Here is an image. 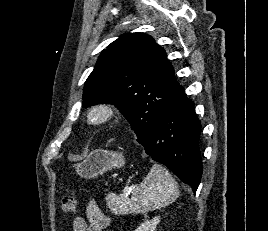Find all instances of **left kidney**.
Segmentation results:
<instances>
[{"label":"left kidney","mask_w":268,"mask_h":231,"mask_svg":"<svg viewBox=\"0 0 268 231\" xmlns=\"http://www.w3.org/2000/svg\"><path fill=\"white\" fill-rule=\"evenodd\" d=\"M160 222V217H154L150 221H145L139 227H137L134 231H155L157 224Z\"/></svg>","instance_id":"1"}]
</instances>
